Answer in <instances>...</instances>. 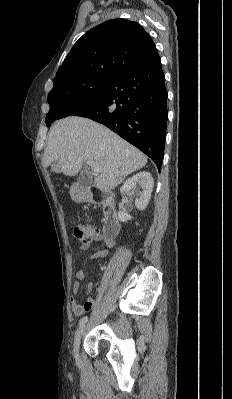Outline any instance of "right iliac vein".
Returning a JSON list of instances; mask_svg holds the SVG:
<instances>
[{
  "mask_svg": "<svg viewBox=\"0 0 232 399\" xmlns=\"http://www.w3.org/2000/svg\"><path fill=\"white\" fill-rule=\"evenodd\" d=\"M84 330H85V327L81 326L80 331L76 333L75 342H74L75 348L79 347L80 341H82V339H83Z\"/></svg>",
  "mask_w": 232,
  "mask_h": 399,
  "instance_id": "63e3f726",
  "label": "right iliac vein"
}]
</instances>
